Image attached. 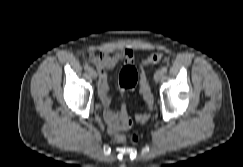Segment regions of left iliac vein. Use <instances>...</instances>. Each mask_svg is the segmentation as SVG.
Returning a JSON list of instances; mask_svg holds the SVG:
<instances>
[{"mask_svg":"<svg viewBox=\"0 0 243 167\" xmlns=\"http://www.w3.org/2000/svg\"><path fill=\"white\" fill-rule=\"evenodd\" d=\"M164 77V73L162 70H157L154 74V79L156 82L160 81Z\"/></svg>","mask_w":243,"mask_h":167,"instance_id":"1","label":"left iliac vein"}]
</instances>
